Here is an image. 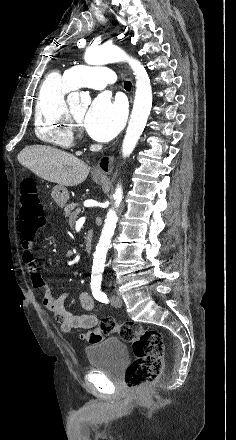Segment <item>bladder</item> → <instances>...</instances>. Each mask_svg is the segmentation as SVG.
<instances>
[{"mask_svg":"<svg viewBox=\"0 0 236 440\" xmlns=\"http://www.w3.org/2000/svg\"><path fill=\"white\" fill-rule=\"evenodd\" d=\"M86 359L92 371L117 376L129 360L127 345L120 339L108 337L85 349Z\"/></svg>","mask_w":236,"mask_h":440,"instance_id":"31cf9c89","label":"bladder"}]
</instances>
